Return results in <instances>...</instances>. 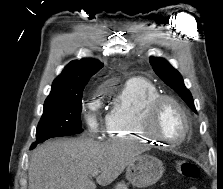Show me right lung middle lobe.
<instances>
[{
  "label": "right lung middle lobe",
  "instance_id": "right-lung-middle-lobe-1",
  "mask_svg": "<svg viewBox=\"0 0 223 189\" xmlns=\"http://www.w3.org/2000/svg\"><path fill=\"white\" fill-rule=\"evenodd\" d=\"M82 92L70 95H50L44 103L43 115L38 123L36 142L79 134L81 128Z\"/></svg>",
  "mask_w": 223,
  "mask_h": 189
}]
</instances>
